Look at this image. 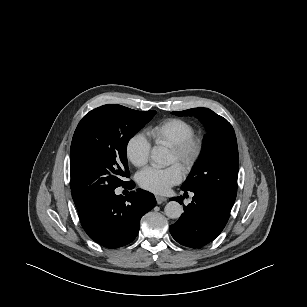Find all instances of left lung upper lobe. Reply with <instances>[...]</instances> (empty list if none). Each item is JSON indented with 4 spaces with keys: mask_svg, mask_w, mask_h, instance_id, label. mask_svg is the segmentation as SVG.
Here are the masks:
<instances>
[{
    "mask_svg": "<svg viewBox=\"0 0 307 307\" xmlns=\"http://www.w3.org/2000/svg\"><path fill=\"white\" fill-rule=\"evenodd\" d=\"M172 113L177 116H195L207 129L202 152L181 189L207 193L231 209L237 194L239 167L233 127L225 118L208 108Z\"/></svg>",
    "mask_w": 307,
    "mask_h": 307,
    "instance_id": "obj_1",
    "label": "left lung upper lobe"
}]
</instances>
